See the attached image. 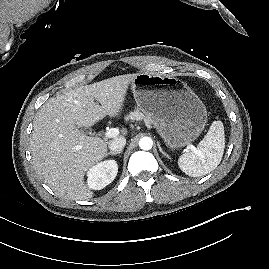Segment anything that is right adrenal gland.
Instances as JSON below:
<instances>
[{
	"instance_id": "obj_1",
	"label": "right adrenal gland",
	"mask_w": 269,
	"mask_h": 269,
	"mask_svg": "<svg viewBox=\"0 0 269 269\" xmlns=\"http://www.w3.org/2000/svg\"><path fill=\"white\" fill-rule=\"evenodd\" d=\"M122 151H118V152H109L107 153V155H118L120 154Z\"/></svg>"
}]
</instances>
